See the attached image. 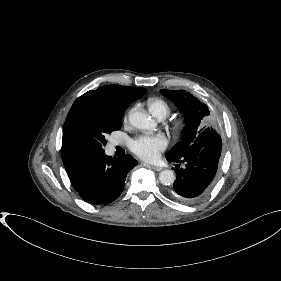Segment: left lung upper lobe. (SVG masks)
<instances>
[{
  "label": "left lung upper lobe",
  "instance_id": "left-lung-upper-lobe-1",
  "mask_svg": "<svg viewBox=\"0 0 281 281\" xmlns=\"http://www.w3.org/2000/svg\"><path fill=\"white\" fill-rule=\"evenodd\" d=\"M161 93L171 99L184 113L186 129L180 143L175 145L166 155V158L182 157L188 147L193 144L204 131L216 133L212 127H203L209 115L208 107L185 90H161Z\"/></svg>",
  "mask_w": 281,
  "mask_h": 281
}]
</instances>
